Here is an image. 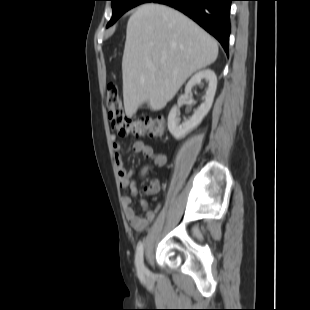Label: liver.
Returning <instances> with one entry per match:
<instances>
[{"label":"liver","mask_w":310,"mask_h":310,"mask_svg":"<svg viewBox=\"0 0 310 310\" xmlns=\"http://www.w3.org/2000/svg\"><path fill=\"white\" fill-rule=\"evenodd\" d=\"M217 56V42L182 13L154 3L138 7L127 24L122 59L127 117L145 101L152 111L163 109L193 73Z\"/></svg>","instance_id":"6515ba94"}]
</instances>
